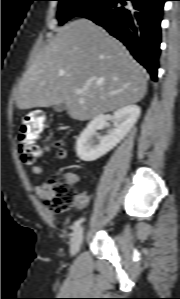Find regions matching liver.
<instances>
[{
	"label": "liver",
	"instance_id": "6515ba94",
	"mask_svg": "<svg viewBox=\"0 0 180 299\" xmlns=\"http://www.w3.org/2000/svg\"><path fill=\"white\" fill-rule=\"evenodd\" d=\"M145 74L120 41L78 19L58 29L26 71L16 105L24 110L63 103L71 118L90 120L139 102L147 89ZM79 88L87 90L76 94Z\"/></svg>",
	"mask_w": 180,
	"mask_h": 299
}]
</instances>
